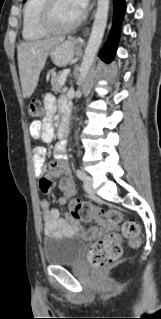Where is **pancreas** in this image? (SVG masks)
<instances>
[{
  "label": "pancreas",
  "instance_id": "1",
  "mask_svg": "<svg viewBox=\"0 0 161 319\" xmlns=\"http://www.w3.org/2000/svg\"><path fill=\"white\" fill-rule=\"evenodd\" d=\"M61 73L62 72H58V73H53L52 74L51 84H52V91L54 93H58L62 89V85L60 84Z\"/></svg>",
  "mask_w": 161,
  "mask_h": 319
}]
</instances>
